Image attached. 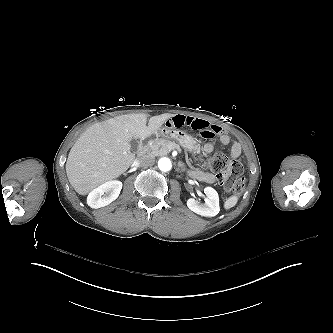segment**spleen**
Listing matches in <instances>:
<instances>
[{
  "mask_svg": "<svg viewBox=\"0 0 333 333\" xmlns=\"http://www.w3.org/2000/svg\"><path fill=\"white\" fill-rule=\"evenodd\" d=\"M238 199H239V195L238 194H234V195L230 196L229 198H227L225 200V202H224V208L228 210V209L234 207L237 204Z\"/></svg>",
  "mask_w": 333,
  "mask_h": 333,
  "instance_id": "spleen-1",
  "label": "spleen"
}]
</instances>
